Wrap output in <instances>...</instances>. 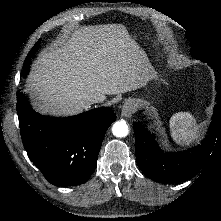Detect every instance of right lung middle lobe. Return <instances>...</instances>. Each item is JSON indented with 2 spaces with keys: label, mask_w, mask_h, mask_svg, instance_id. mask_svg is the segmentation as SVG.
I'll use <instances>...</instances> for the list:
<instances>
[{
  "label": "right lung middle lobe",
  "mask_w": 221,
  "mask_h": 221,
  "mask_svg": "<svg viewBox=\"0 0 221 221\" xmlns=\"http://www.w3.org/2000/svg\"><path fill=\"white\" fill-rule=\"evenodd\" d=\"M40 41H38L34 47L32 48V50L29 52L28 56L25 59V62L23 64V70L21 71V76L25 77L30 69V62H31V58L34 56L35 52L37 51L38 47H39Z\"/></svg>",
  "instance_id": "right-lung-middle-lobe-1"
}]
</instances>
